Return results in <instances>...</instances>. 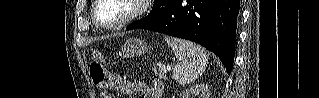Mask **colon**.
I'll return each mask as SVG.
<instances>
[{
	"mask_svg": "<svg viewBox=\"0 0 319 98\" xmlns=\"http://www.w3.org/2000/svg\"><path fill=\"white\" fill-rule=\"evenodd\" d=\"M92 56L94 61L90 65L91 79L96 86L103 87L108 80V75L102 64L99 62L102 58V54L99 51L94 50ZM101 98H109V96L106 93H102Z\"/></svg>",
	"mask_w": 319,
	"mask_h": 98,
	"instance_id": "5ec220e1",
	"label": "colon"
}]
</instances>
